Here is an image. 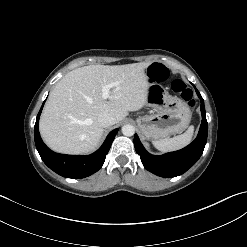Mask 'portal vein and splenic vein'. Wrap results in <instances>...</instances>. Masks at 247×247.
Listing matches in <instances>:
<instances>
[{"instance_id": "obj_1", "label": "portal vein and splenic vein", "mask_w": 247, "mask_h": 247, "mask_svg": "<svg viewBox=\"0 0 247 247\" xmlns=\"http://www.w3.org/2000/svg\"><path fill=\"white\" fill-rule=\"evenodd\" d=\"M117 85V83H110V84H106L102 87V98L103 99H108L109 98V92L110 89L115 87Z\"/></svg>"}]
</instances>
